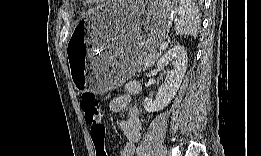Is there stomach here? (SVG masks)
I'll use <instances>...</instances> for the list:
<instances>
[{"instance_id": "stomach-1", "label": "stomach", "mask_w": 261, "mask_h": 156, "mask_svg": "<svg viewBox=\"0 0 261 156\" xmlns=\"http://www.w3.org/2000/svg\"><path fill=\"white\" fill-rule=\"evenodd\" d=\"M173 13L164 2H106L88 11L67 49L75 88L100 93L130 78L168 34ZM77 39L81 56L75 49Z\"/></svg>"}]
</instances>
